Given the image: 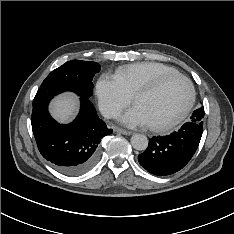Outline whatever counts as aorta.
Returning <instances> with one entry per match:
<instances>
[{
  "instance_id": "1",
  "label": "aorta",
  "mask_w": 234,
  "mask_h": 234,
  "mask_svg": "<svg viewBox=\"0 0 234 234\" xmlns=\"http://www.w3.org/2000/svg\"><path fill=\"white\" fill-rule=\"evenodd\" d=\"M131 144L134 149L143 151L148 147V138L143 134H134L131 137Z\"/></svg>"
}]
</instances>
